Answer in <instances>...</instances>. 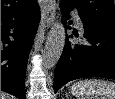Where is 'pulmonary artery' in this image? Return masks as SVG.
<instances>
[{
	"instance_id": "obj_1",
	"label": "pulmonary artery",
	"mask_w": 115,
	"mask_h": 99,
	"mask_svg": "<svg viewBox=\"0 0 115 99\" xmlns=\"http://www.w3.org/2000/svg\"><path fill=\"white\" fill-rule=\"evenodd\" d=\"M74 19L77 21L78 24H80V20L77 16H74Z\"/></svg>"
}]
</instances>
